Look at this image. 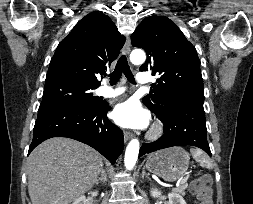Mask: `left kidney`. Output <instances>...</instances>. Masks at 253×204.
I'll use <instances>...</instances> for the list:
<instances>
[{
    "label": "left kidney",
    "instance_id": "5707ae66",
    "mask_svg": "<svg viewBox=\"0 0 253 204\" xmlns=\"http://www.w3.org/2000/svg\"><path fill=\"white\" fill-rule=\"evenodd\" d=\"M151 196L153 197H159L161 195V191L158 189L152 188L150 191ZM169 203L168 204H187L182 196H180L177 193H169L168 194Z\"/></svg>",
    "mask_w": 253,
    "mask_h": 204
}]
</instances>
